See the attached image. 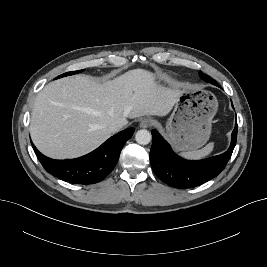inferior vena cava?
I'll return each mask as SVG.
<instances>
[{
	"mask_svg": "<svg viewBox=\"0 0 267 267\" xmlns=\"http://www.w3.org/2000/svg\"><path fill=\"white\" fill-rule=\"evenodd\" d=\"M124 126V123L121 121H113L111 123H109L108 125V129L111 133H115L118 132L122 129V127Z\"/></svg>",
	"mask_w": 267,
	"mask_h": 267,
	"instance_id": "obj_1",
	"label": "inferior vena cava"
}]
</instances>
